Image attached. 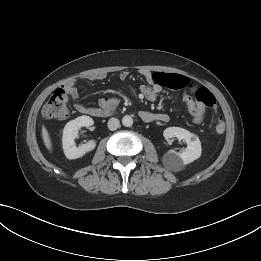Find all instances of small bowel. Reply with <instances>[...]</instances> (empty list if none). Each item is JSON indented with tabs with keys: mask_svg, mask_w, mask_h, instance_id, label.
Instances as JSON below:
<instances>
[{
	"mask_svg": "<svg viewBox=\"0 0 261 261\" xmlns=\"http://www.w3.org/2000/svg\"><path fill=\"white\" fill-rule=\"evenodd\" d=\"M141 75L145 78L148 85L141 86L140 92L146 99L150 101L156 99L157 95L161 92L163 86L172 89H183L188 87L189 85L188 78L178 74L154 73L149 70H142ZM105 77V73L95 72L88 74L85 79L89 81H97L102 80ZM127 77V71H122L120 73V79L125 80ZM63 88L73 99H77L79 97V91L76 87L75 80H70L66 82ZM189 90L191 93L195 92V88L193 86H190ZM182 100L191 113L194 123H201L204 116V109L199 107L190 93H185L182 97ZM114 104L115 102L112 99L103 98L100 100V109L85 106L81 103H75L74 107L78 112L82 114L93 115L97 111H106L111 109ZM140 116L146 122H167L169 120L168 115L164 113H151L148 111H142L140 113ZM146 118H148V120H145Z\"/></svg>",
	"mask_w": 261,
	"mask_h": 261,
	"instance_id": "1",
	"label": "small bowel"
}]
</instances>
